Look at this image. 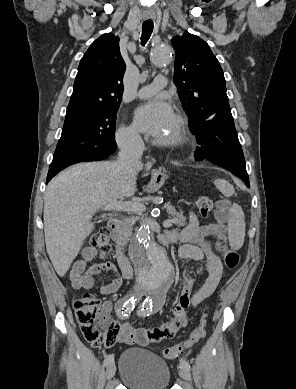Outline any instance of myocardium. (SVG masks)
<instances>
[{
  "instance_id": "myocardium-1",
  "label": "myocardium",
  "mask_w": 296,
  "mask_h": 389,
  "mask_svg": "<svg viewBox=\"0 0 296 389\" xmlns=\"http://www.w3.org/2000/svg\"><path fill=\"white\" fill-rule=\"evenodd\" d=\"M185 121L180 115L174 116L173 132L168 137L156 139V143L162 146H175L185 140Z\"/></svg>"
}]
</instances>
